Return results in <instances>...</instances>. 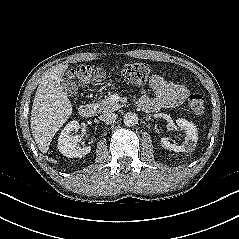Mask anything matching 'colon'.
<instances>
[{"label":"colon","instance_id":"1","mask_svg":"<svg viewBox=\"0 0 239 239\" xmlns=\"http://www.w3.org/2000/svg\"><path fill=\"white\" fill-rule=\"evenodd\" d=\"M149 66L143 62H132L125 64L121 69V76L129 84L141 85L146 82L149 76ZM104 72L100 68L80 65L70 71V76L81 83L99 81L103 78ZM187 104L190 110L201 115L205 112L204 98L197 93L190 94L187 98Z\"/></svg>","mask_w":239,"mask_h":239}]
</instances>
